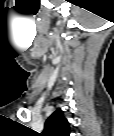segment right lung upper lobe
<instances>
[{"label":"right lung upper lobe","instance_id":"right-lung-upper-lobe-1","mask_svg":"<svg viewBox=\"0 0 114 136\" xmlns=\"http://www.w3.org/2000/svg\"><path fill=\"white\" fill-rule=\"evenodd\" d=\"M69 122L61 109L55 110L45 122L43 136H69Z\"/></svg>","mask_w":114,"mask_h":136}]
</instances>
